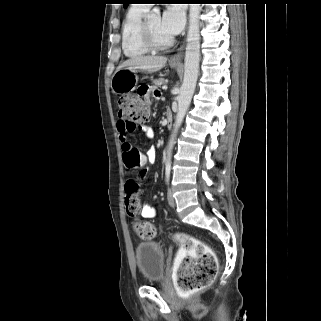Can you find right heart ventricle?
Listing matches in <instances>:
<instances>
[{"mask_svg":"<svg viewBox=\"0 0 321 321\" xmlns=\"http://www.w3.org/2000/svg\"><path fill=\"white\" fill-rule=\"evenodd\" d=\"M149 7L146 5H132L123 20L121 28V46L128 58H138L150 52L141 39V25Z\"/></svg>","mask_w":321,"mask_h":321,"instance_id":"e07e8e85","label":"right heart ventricle"}]
</instances>
